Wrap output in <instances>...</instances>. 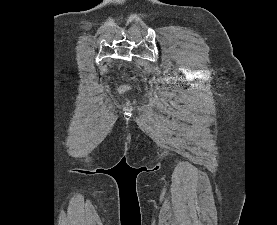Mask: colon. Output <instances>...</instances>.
<instances>
[{"mask_svg": "<svg viewBox=\"0 0 277 225\" xmlns=\"http://www.w3.org/2000/svg\"><path fill=\"white\" fill-rule=\"evenodd\" d=\"M126 90H128V89H127V88H122V89H121V91H126Z\"/></svg>", "mask_w": 277, "mask_h": 225, "instance_id": "5ec220e1", "label": "colon"}]
</instances>
